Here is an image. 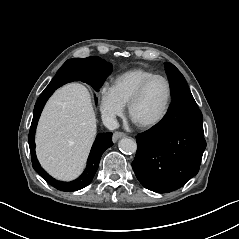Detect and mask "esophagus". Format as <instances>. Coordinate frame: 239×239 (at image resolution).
I'll list each match as a JSON object with an SVG mask.
<instances>
[{
    "mask_svg": "<svg viewBox=\"0 0 239 239\" xmlns=\"http://www.w3.org/2000/svg\"><path fill=\"white\" fill-rule=\"evenodd\" d=\"M125 136H126L125 133L116 131L113 133V142L116 143L118 139L125 137Z\"/></svg>",
    "mask_w": 239,
    "mask_h": 239,
    "instance_id": "obj_1",
    "label": "esophagus"
}]
</instances>
